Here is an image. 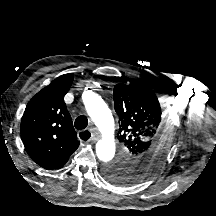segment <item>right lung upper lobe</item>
<instances>
[{
    "mask_svg": "<svg viewBox=\"0 0 216 216\" xmlns=\"http://www.w3.org/2000/svg\"><path fill=\"white\" fill-rule=\"evenodd\" d=\"M73 74L62 75L39 91L27 104L21 120V138L31 159L46 169L66 164L79 141L63 100Z\"/></svg>",
    "mask_w": 216,
    "mask_h": 216,
    "instance_id": "right-lung-upper-lobe-1",
    "label": "right lung upper lobe"
}]
</instances>
